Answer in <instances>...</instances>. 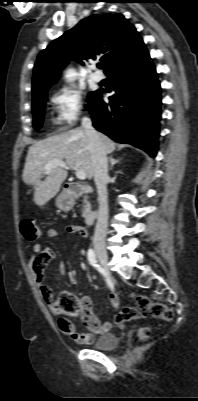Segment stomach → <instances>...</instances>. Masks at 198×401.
<instances>
[{"mask_svg":"<svg viewBox=\"0 0 198 401\" xmlns=\"http://www.w3.org/2000/svg\"><path fill=\"white\" fill-rule=\"evenodd\" d=\"M74 205V200L66 193L62 192L56 198V206L63 211H69Z\"/></svg>","mask_w":198,"mask_h":401,"instance_id":"obj_1","label":"stomach"}]
</instances>
